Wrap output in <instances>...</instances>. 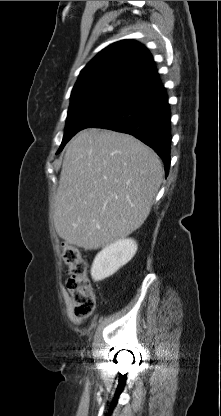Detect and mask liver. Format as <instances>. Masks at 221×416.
Returning a JSON list of instances; mask_svg holds the SVG:
<instances>
[{"label": "liver", "mask_w": 221, "mask_h": 416, "mask_svg": "<svg viewBox=\"0 0 221 416\" xmlns=\"http://www.w3.org/2000/svg\"><path fill=\"white\" fill-rule=\"evenodd\" d=\"M164 169L132 135L90 128L68 144L54 202L60 238L85 250L130 235L147 219Z\"/></svg>", "instance_id": "1"}]
</instances>
